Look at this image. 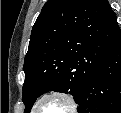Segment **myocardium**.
Listing matches in <instances>:
<instances>
[{
  "instance_id": "f54148a6",
  "label": "myocardium",
  "mask_w": 121,
  "mask_h": 113,
  "mask_svg": "<svg viewBox=\"0 0 121 113\" xmlns=\"http://www.w3.org/2000/svg\"><path fill=\"white\" fill-rule=\"evenodd\" d=\"M50 97H56L59 99H62L63 101L66 102V104L68 105L69 109L68 112L65 113H72V111H75L77 109V103L75 101V99L73 98V96H71L70 94L63 92V91H59V90H54L48 93L43 94L42 96H40L34 106H33V111L35 113H37L38 107L39 105L47 98Z\"/></svg>"
}]
</instances>
